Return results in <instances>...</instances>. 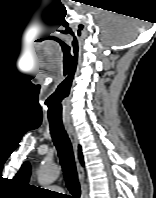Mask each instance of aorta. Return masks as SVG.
Listing matches in <instances>:
<instances>
[{
    "label": "aorta",
    "mask_w": 156,
    "mask_h": 198,
    "mask_svg": "<svg viewBox=\"0 0 156 198\" xmlns=\"http://www.w3.org/2000/svg\"><path fill=\"white\" fill-rule=\"evenodd\" d=\"M59 168L57 165L45 162L38 171V182L42 186H49L59 177Z\"/></svg>",
    "instance_id": "obj_1"
}]
</instances>
